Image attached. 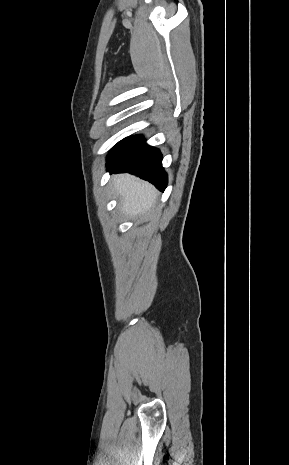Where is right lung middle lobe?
<instances>
[{
	"instance_id": "right-lung-middle-lobe-1",
	"label": "right lung middle lobe",
	"mask_w": 289,
	"mask_h": 465,
	"mask_svg": "<svg viewBox=\"0 0 289 465\" xmlns=\"http://www.w3.org/2000/svg\"><path fill=\"white\" fill-rule=\"evenodd\" d=\"M143 139L141 135L125 138L118 142L109 152L108 162L115 163L130 153Z\"/></svg>"
}]
</instances>
